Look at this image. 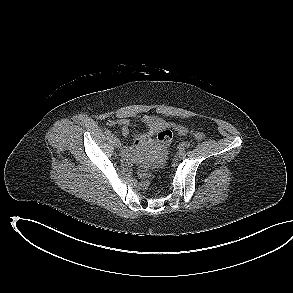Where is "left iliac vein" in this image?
Masks as SVG:
<instances>
[{
  "mask_svg": "<svg viewBox=\"0 0 293 293\" xmlns=\"http://www.w3.org/2000/svg\"><path fill=\"white\" fill-rule=\"evenodd\" d=\"M185 156H186V153H185L184 151H180V152L178 153V157H179L180 159L185 158Z\"/></svg>",
  "mask_w": 293,
  "mask_h": 293,
  "instance_id": "4c4485c4",
  "label": "left iliac vein"
}]
</instances>
